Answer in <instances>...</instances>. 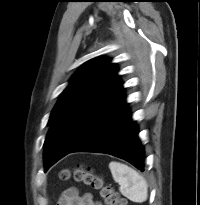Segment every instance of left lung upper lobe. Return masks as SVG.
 Segmentation results:
<instances>
[{
  "instance_id": "left-lung-upper-lobe-1",
  "label": "left lung upper lobe",
  "mask_w": 200,
  "mask_h": 205,
  "mask_svg": "<svg viewBox=\"0 0 200 205\" xmlns=\"http://www.w3.org/2000/svg\"><path fill=\"white\" fill-rule=\"evenodd\" d=\"M109 62L107 59L87 62L62 92L48 122L45 171L82 140L122 91L118 70Z\"/></svg>"
}]
</instances>
